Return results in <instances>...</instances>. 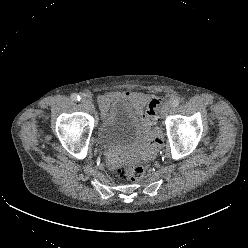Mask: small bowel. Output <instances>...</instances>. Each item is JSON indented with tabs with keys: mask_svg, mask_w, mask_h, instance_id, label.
Instances as JSON below:
<instances>
[{
	"mask_svg": "<svg viewBox=\"0 0 248 248\" xmlns=\"http://www.w3.org/2000/svg\"><path fill=\"white\" fill-rule=\"evenodd\" d=\"M118 99H124L128 101L135 109V111L141 115L145 108L148 109L154 98L150 97L147 94L138 93V92H124V93L108 92L103 94L99 98V106L103 115H106L109 112L112 103ZM149 136L151 138L152 146L157 147V145L160 143V137L158 131L156 130L150 131ZM116 158L117 156L115 154H110L109 156V160L111 162L115 161Z\"/></svg>",
	"mask_w": 248,
	"mask_h": 248,
	"instance_id": "c3829d8e",
	"label": "small bowel"
}]
</instances>
